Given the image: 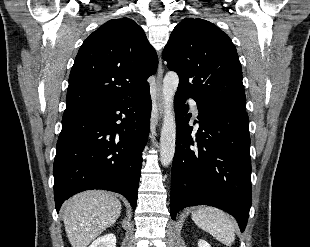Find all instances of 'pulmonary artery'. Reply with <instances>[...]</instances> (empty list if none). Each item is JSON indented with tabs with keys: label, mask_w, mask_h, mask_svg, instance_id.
<instances>
[{
	"label": "pulmonary artery",
	"mask_w": 310,
	"mask_h": 247,
	"mask_svg": "<svg viewBox=\"0 0 310 247\" xmlns=\"http://www.w3.org/2000/svg\"><path fill=\"white\" fill-rule=\"evenodd\" d=\"M188 103H189L194 115L197 116L198 115V108H197L196 101L194 99L190 98V99H188Z\"/></svg>",
	"instance_id": "e3ab8cb5"
}]
</instances>
